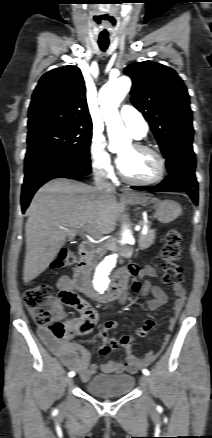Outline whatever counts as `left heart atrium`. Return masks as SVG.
<instances>
[{
  "label": "left heart atrium",
  "mask_w": 212,
  "mask_h": 438,
  "mask_svg": "<svg viewBox=\"0 0 212 438\" xmlns=\"http://www.w3.org/2000/svg\"><path fill=\"white\" fill-rule=\"evenodd\" d=\"M118 163H119V166L121 167V166H122V163H123V161H122L121 158H119Z\"/></svg>",
  "instance_id": "obj_1"
}]
</instances>
